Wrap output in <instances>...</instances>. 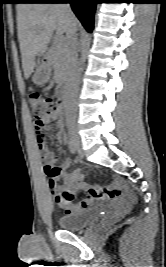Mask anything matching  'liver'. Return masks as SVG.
<instances>
[{
    "label": "liver",
    "mask_w": 166,
    "mask_h": 267,
    "mask_svg": "<svg viewBox=\"0 0 166 267\" xmlns=\"http://www.w3.org/2000/svg\"><path fill=\"white\" fill-rule=\"evenodd\" d=\"M17 32L24 77L36 67V57L43 55L54 31L59 37L67 33V16L61 5L21 3L16 6ZM73 24L78 20L73 16Z\"/></svg>",
    "instance_id": "obj_1"
}]
</instances>
